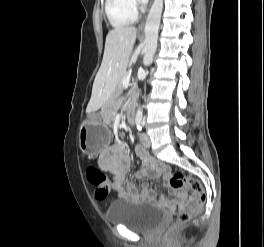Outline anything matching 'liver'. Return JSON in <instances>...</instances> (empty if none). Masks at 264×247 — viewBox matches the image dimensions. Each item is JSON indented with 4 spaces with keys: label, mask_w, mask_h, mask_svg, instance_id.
I'll return each mask as SVG.
<instances>
[{
    "label": "liver",
    "mask_w": 264,
    "mask_h": 247,
    "mask_svg": "<svg viewBox=\"0 0 264 247\" xmlns=\"http://www.w3.org/2000/svg\"><path fill=\"white\" fill-rule=\"evenodd\" d=\"M136 35L135 27H118L107 34L102 64L93 83L87 113L103 107L126 74Z\"/></svg>",
    "instance_id": "liver-1"
}]
</instances>
